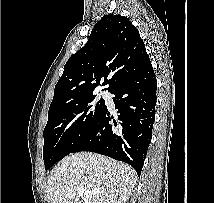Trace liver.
Masks as SVG:
<instances>
[{
    "mask_svg": "<svg viewBox=\"0 0 214 203\" xmlns=\"http://www.w3.org/2000/svg\"><path fill=\"white\" fill-rule=\"evenodd\" d=\"M134 169L100 154L80 152L64 158L46 186L49 203H126L135 187ZM80 188L90 191L80 200Z\"/></svg>",
    "mask_w": 214,
    "mask_h": 203,
    "instance_id": "6515ba94",
    "label": "liver"
}]
</instances>
